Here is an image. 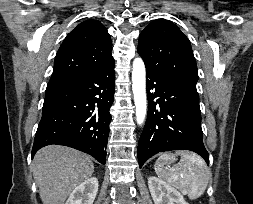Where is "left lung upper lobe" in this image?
<instances>
[{
  "instance_id": "1",
  "label": "left lung upper lobe",
  "mask_w": 253,
  "mask_h": 204,
  "mask_svg": "<svg viewBox=\"0 0 253 204\" xmlns=\"http://www.w3.org/2000/svg\"><path fill=\"white\" fill-rule=\"evenodd\" d=\"M137 51L147 71L196 87L197 65L190 41L172 22H151L140 33Z\"/></svg>"
}]
</instances>
